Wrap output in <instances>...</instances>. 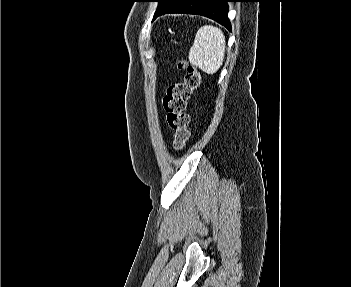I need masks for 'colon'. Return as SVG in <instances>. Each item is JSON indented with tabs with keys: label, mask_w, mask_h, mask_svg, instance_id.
<instances>
[{
	"label": "colon",
	"mask_w": 351,
	"mask_h": 287,
	"mask_svg": "<svg viewBox=\"0 0 351 287\" xmlns=\"http://www.w3.org/2000/svg\"><path fill=\"white\" fill-rule=\"evenodd\" d=\"M179 67L185 71V75L181 81L169 86L163 99L167 122L174 132L172 147L176 151L183 150L189 139L190 117L187 113V104L201 82L200 73L196 67L186 61H180Z\"/></svg>",
	"instance_id": "1"
}]
</instances>
